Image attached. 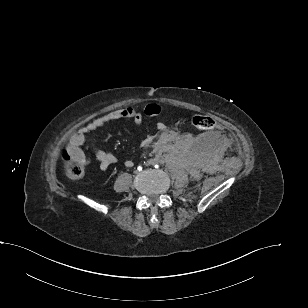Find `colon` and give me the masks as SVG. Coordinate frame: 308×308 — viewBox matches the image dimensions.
<instances>
[{
	"mask_svg": "<svg viewBox=\"0 0 308 308\" xmlns=\"http://www.w3.org/2000/svg\"><path fill=\"white\" fill-rule=\"evenodd\" d=\"M192 125L198 130H210L214 127V120L205 114H195L191 117ZM65 169L71 179H79L84 175V163L71 157L67 152L64 154Z\"/></svg>",
	"mask_w": 308,
	"mask_h": 308,
	"instance_id": "5ec220e1",
	"label": "colon"
}]
</instances>
